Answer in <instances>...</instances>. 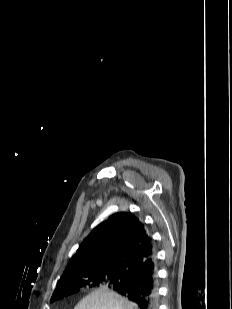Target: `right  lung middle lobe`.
Masks as SVG:
<instances>
[{
	"label": "right lung middle lobe",
	"instance_id": "1",
	"mask_svg": "<svg viewBox=\"0 0 232 309\" xmlns=\"http://www.w3.org/2000/svg\"><path fill=\"white\" fill-rule=\"evenodd\" d=\"M128 281V275L125 272L94 270L82 272L63 283H58L51 301L61 299L62 297L78 292L84 287L108 286L117 287Z\"/></svg>",
	"mask_w": 232,
	"mask_h": 309
}]
</instances>
